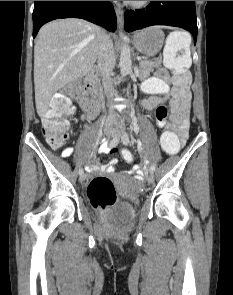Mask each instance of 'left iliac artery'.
Wrapping results in <instances>:
<instances>
[{
  "mask_svg": "<svg viewBox=\"0 0 233 295\" xmlns=\"http://www.w3.org/2000/svg\"><path fill=\"white\" fill-rule=\"evenodd\" d=\"M122 142H123V144H128L129 143V135H128V133H125L124 135H123V137H122ZM156 166L153 164L152 166H151V168H150V173H153L154 172V168H155Z\"/></svg>",
  "mask_w": 233,
  "mask_h": 295,
  "instance_id": "1",
  "label": "left iliac artery"
}]
</instances>
